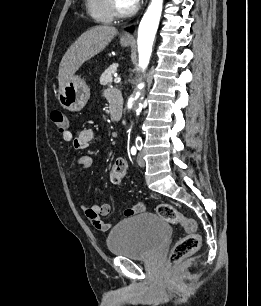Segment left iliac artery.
<instances>
[{
	"mask_svg": "<svg viewBox=\"0 0 261 306\" xmlns=\"http://www.w3.org/2000/svg\"><path fill=\"white\" fill-rule=\"evenodd\" d=\"M136 148L137 150H141L142 149V139L140 137L136 138V147H132L131 148V154L135 155L136 154Z\"/></svg>",
	"mask_w": 261,
	"mask_h": 306,
	"instance_id": "1",
	"label": "left iliac artery"
}]
</instances>
